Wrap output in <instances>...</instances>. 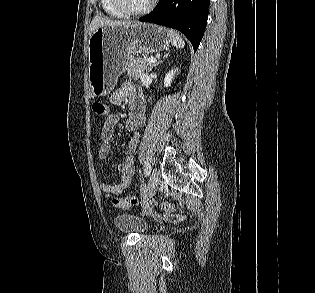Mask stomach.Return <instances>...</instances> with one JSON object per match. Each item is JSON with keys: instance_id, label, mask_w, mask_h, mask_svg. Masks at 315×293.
Wrapping results in <instances>:
<instances>
[{"instance_id": "obj_1", "label": "stomach", "mask_w": 315, "mask_h": 293, "mask_svg": "<svg viewBox=\"0 0 315 293\" xmlns=\"http://www.w3.org/2000/svg\"><path fill=\"white\" fill-rule=\"evenodd\" d=\"M168 31L160 26L130 22L96 29L88 44V79L92 96H105L114 89L127 58L168 49Z\"/></svg>"}]
</instances>
